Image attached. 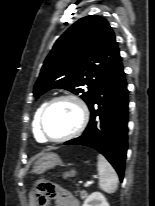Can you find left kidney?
<instances>
[{
  "label": "left kidney",
  "instance_id": "left-kidney-1",
  "mask_svg": "<svg viewBox=\"0 0 155 206\" xmlns=\"http://www.w3.org/2000/svg\"><path fill=\"white\" fill-rule=\"evenodd\" d=\"M82 206H110L105 196L100 192L91 193Z\"/></svg>",
  "mask_w": 155,
  "mask_h": 206
}]
</instances>
